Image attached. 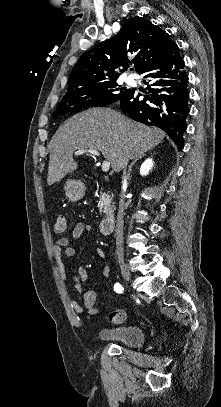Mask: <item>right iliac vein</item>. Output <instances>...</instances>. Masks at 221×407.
Listing matches in <instances>:
<instances>
[{
  "label": "right iliac vein",
  "instance_id": "obj_1",
  "mask_svg": "<svg viewBox=\"0 0 221 407\" xmlns=\"http://www.w3.org/2000/svg\"><path fill=\"white\" fill-rule=\"evenodd\" d=\"M121 273L126 282H131V273L124 264L120 265Z\"/></svg>",
  "mask_w": 221,
  "mask_h": 407
}]
</instances>
